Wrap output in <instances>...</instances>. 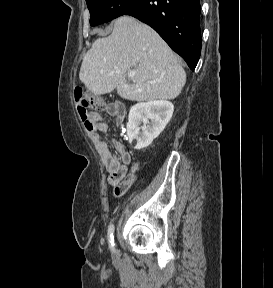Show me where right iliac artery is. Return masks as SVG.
<instances>
[{
	"label": "right iliac artery",
	"mask_w": 273,
	"mask_h": 288,
	"mask_svg": "<svg viewBox=\"0 0 273 288\" xmlns=\"http://www.w3.org/2000/svg\"><path fill=\"white\" fill-rule=\"evenodd\" d=\"M114 225L111 224L108 228V241L109 246L112 251H114Z\"/></svg>",
	"instance_id": "82829eb1"
}]
</instances>
